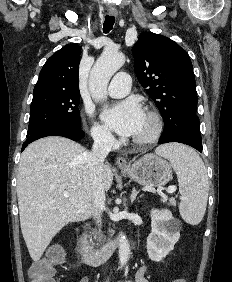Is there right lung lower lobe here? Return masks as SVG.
<instances>
[{
    "mask_svg": "<svg viewBox=\"0 0 232 282\" xmlns=\"http://www.w3.org/2000/svg\"><path fill=\"white\" fill-rule=\"evenodd\" d=\"M46 136H63L72 140H81L84 137V132L80 130V128L73 127L68 124H56L48 126L33 134L27 135V139L23 143L21 151H23L29 143Z\"/></svg>",
    "mask_w": 232,
    "mask_h": 282,
    "instance_id": "right-lung-lower-lobe-1",
    "label": "right lung lower lobe"
}]
</instances>
